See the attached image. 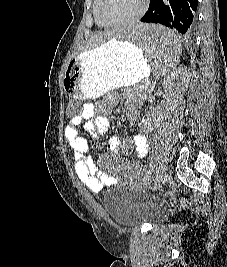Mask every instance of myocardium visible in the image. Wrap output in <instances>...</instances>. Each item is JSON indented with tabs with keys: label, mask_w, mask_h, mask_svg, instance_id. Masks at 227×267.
Returning a JSON list of instances; mask_svg holds the SVG:
<instances>
[{
	"label": "myocardium",
	"mask_w": 227,
	"mask_h": 267,
	"mask_svg": "<svg viewBox=\"0 0 227 267\" xmlns=\"http://www.w3.org/2000/svg\"><path fill=\"white\" fill-rule=\"evenodd\" d=\"M104 3H105V0H100L99 14H100V17L102 18V20L109 25H123V24L133 23V22L139 20L146 13L148 6H149V0H142L141 8L135 15H133L132 17L127 18V19L114 21V20L109 19L106 16L105 11H104Z\"/></svg>",
	"instance_id": "myocardium-1"
}]
</instances>
